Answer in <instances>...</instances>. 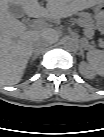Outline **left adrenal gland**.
Segmentation results:
<instances>
[{
	"instance_id": "left-adrenal-gland-1",
	"label": "left adrenal gland",
	"mask_w": 104,
	"mask_h": 137,
	"mask_svg": "<svg viewBox=\"0 0 104 137\" xmlns=\"http://www.w3.org/2000/svg\"><path fill=\"white\" fill-rule=\"evenodd\" d=\"M81 55L83 56V50H81Z\"/></svg>"
}]
</instances>
